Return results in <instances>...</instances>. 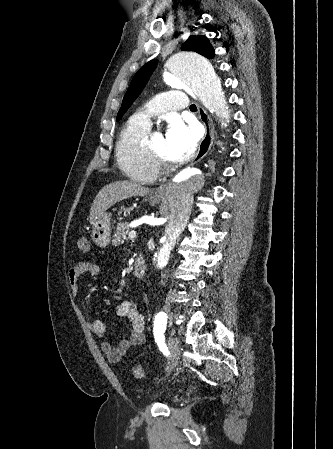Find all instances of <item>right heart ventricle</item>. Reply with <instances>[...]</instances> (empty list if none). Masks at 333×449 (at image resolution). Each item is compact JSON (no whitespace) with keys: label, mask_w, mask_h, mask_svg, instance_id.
Returning a JSON list of instances; mask_svg holds the SVG:
<instances>
[{"label":"right heart ventricle","mask_w":333,"mask_h":449,"mask_svg":"<svg viewBox=\"0 0 333 449\" xmlns=\"http://www.w3.org/2000/svg\"><path fill=\"white\" fill-rule=\"evenodd\" d=\"M149 130L148 125L134 117L125 124L115 145L119 167L130 179L140 183H152L159 174L145 147Z\"/></svg>","instance_id":"obj_1"}]
</instances>
